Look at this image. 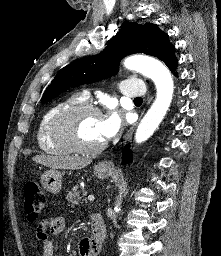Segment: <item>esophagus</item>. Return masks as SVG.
<instances>
[{
    "instance_id": "1",
    "label": "esophagus",
    "mask_w": 221,
    "mask_h": 256,
    "mask_svg": "<svg viewBox=\"0 0 221 256\" xmlns=\"http://www.w3.org/2000/svg\"><path fill=\"white\" fill-rule=\"evenodd\" d=\"M135 127H136V124L133 125V126L130 128V130L126 133V135H125V137H124V142H126V141L130 138V136H131V134H132V132H133V130H134ZM100 165H101L102 167H107V168H113V167H114V163H113L112 160H108V161L102 162Z\"/></svg>"
}]
</instances>
